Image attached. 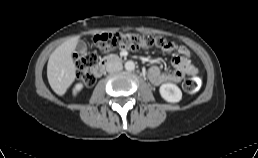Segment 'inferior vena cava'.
<instances>
[{"mask_svg": "<svg viewBox=\"0 0 258 158\" xmlns=\"http://www.w3.org/2000/svg\"><path fill=\"white\" fill-rule=\"evenodd\" d=\"M122 69V63L120 61L110 62L106 66V70L109 73L120 71Z\"/></svg>", "mask_w": 258, "mask_h": 158, "instance_id": "inferior-vena-cava-1", "label": "inferior vena cava"}]
</instances>
